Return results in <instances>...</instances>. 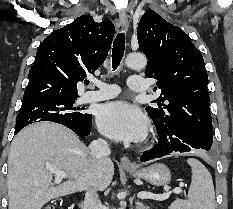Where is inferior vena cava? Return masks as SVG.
<instances>
[{
	"label": "inferior vena cava",
	"mask_w": 233,
	"mask_h": 209,
	"mask_svg": "<svg viewBox=\"0 0 233 209\" xmlns=\"http://www.w3.org/2000/svg\"><path fill=\"white\" fill-rule=\"evenodd\" d=\"M89 148L91 150L90 155L95 159H108L111 153L109 144L102 139L92 141ZM83 209H103V205L94 188L86 191Z\"/></svg>",
	"instance_id": "inferior-vena-cava-1"
}]
</instances>
